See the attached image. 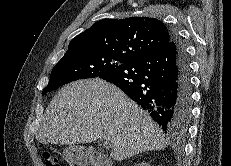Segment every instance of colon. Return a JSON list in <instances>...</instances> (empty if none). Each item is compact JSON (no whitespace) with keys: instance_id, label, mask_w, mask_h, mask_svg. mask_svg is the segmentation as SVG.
<instances>
[{"instance_id":"5ec220e1","label":"colon","mask_w":231,"mask_h":166,"mask_svg":"<svg viewBox=\"0 0 231 166\" xmlns=\"http://www.w3.org/2000/svg\"><path fill=\"white\" fill-rule=\"evenodd\" d=\"M46 166H60L58 159L50 154L45 155Z\"/></svg>"}]
</instances>
